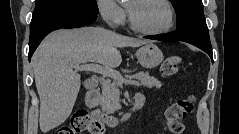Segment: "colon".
Here are the masks:
<instances>
[{
  "label": "colon",
  "instance_id": "obj_1",
  "mask_svg": "<svg viewBox=\"0 0 239 134\" xmlns=\"http://www.w3.org/2000/svg\"><path fill=\"white\" fill-rule=\"evenodd\" d=\"M180 70V58L171 56L166 58L161 66L164 76L172 77L178 74ZM194 98L186 96L177 100L166 111V120L169 130L173 134H182L184 132V124L181 122L183 118L189 115L193 110ZM103 126L100 122L92 118L86 111L75 112L68 126L60 127L55 134H103Z\"/></svg>",
  "mask_w": 239,
  "mask_h": 134
}]
</instances>
